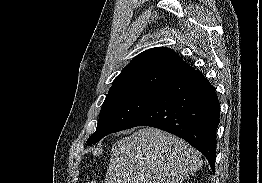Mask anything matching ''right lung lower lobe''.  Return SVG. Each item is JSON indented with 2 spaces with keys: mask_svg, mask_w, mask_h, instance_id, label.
I'll list each match as a JSON object with an SVG mask.
<instances>
[{
  "mask_svg": "<svg viewBox=\"0 0 262 183\" xmlns=\"http://www.w3.org/2000/svg\"><path fill=\"white\" fill-rule=\"evenodd\" d=\"M219 117L220 103L213 86L193 70L158 90L124 129L151 126L175 134L199 150L214 172Z\"/></svg>",
  "mask_w": 262,
  "mask_h": 183,
  "instance_id": "right-lung-lower-lobe-1",
  "label": "right lung lower lobe"
}]
</instances>
